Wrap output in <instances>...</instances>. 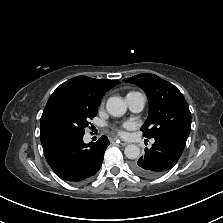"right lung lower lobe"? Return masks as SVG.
<instances>
[{
  "label": "right lung lower lobe",
  "mask_w": 223,
  "mask_h": 223,
  "mask_svg": "<svg viewBox=\"0 0 223 223\" xmlns=\"http://www.w3.org/2000/svg\"><path fill=\"white\" fill-rule=\"evenodd\" d=\"M41 144L45 158L57 176L82 183L98 172L110 142L106 136L85 144L83 135H55L42 140Z\"/></svg>",
  "instance_id": "1"
}]
</instances>
